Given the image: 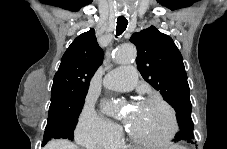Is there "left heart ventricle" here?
Returning <instances> with one entry per match:
<instances>
[{"mask_svg": "<svg viewBox=\"0 0 227 149\" xmlns=\"http://www.w3.org/2000/svg\"><path fill=\"white\" fill-rule=\"evenodd\" d=\"M131 130L146 139H161L171 129V119L165 107L157 103H142L125 115Z\"/></svg>", "mask_w": 227, "mask_h": 149, "instance_id": "b2bd125f", "label": "left heart ventricle"}]
</instances>
